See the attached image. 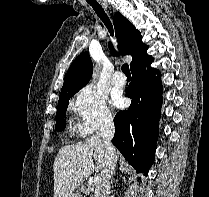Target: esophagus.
I'll list each match as a JSON object with an SVG mask.
<instances>
[{
    "label": "esophagus",
    "mask_w": 209,
    "mask_h": 197,
    "mask_svg": "<svg viewBox=\"0 0 209 197\" xmlns=\"http://www.w3.org/2000/svg\"><path fill=\"white\" fill-rule=\"evenodd\" d=\"M104 6L107 7V4L104 3Z\"/></svg>",
    "instance_id": "esophagus-1"
}]
</instances>
